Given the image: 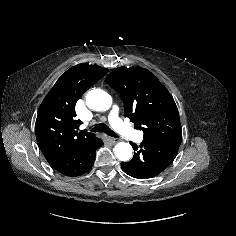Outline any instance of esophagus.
I'll list each match as a JSON object with an SVG mask.
<instances>
[{
	"mask_svg": "<svg viewBox=\"0 0 236 236\" xmlns=\"http://www.w3.org/2000/svg\"><path fill=\"white\" fill-rule=\"evenodd\" d=\"M109 140H110V142H112V143H117V142H118V139H116V138H109Z\"/></svg>",
	"mask_w": 236,
	"mask_h": 236,
	"instance_id": "esophagus-1",
	"label": "esophagus"
}]
</instances>
